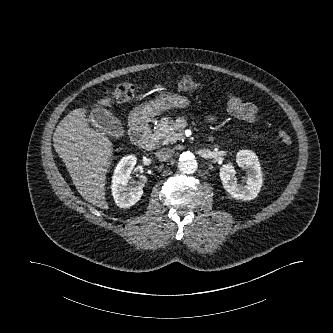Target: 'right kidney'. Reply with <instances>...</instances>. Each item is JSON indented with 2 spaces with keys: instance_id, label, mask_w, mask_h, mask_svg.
<instances>
[{
  "instance_id": "right-kidney-1",
  "label": "right kidney",
  "mask_w": 333,
  "mask_h": 333,
  "mask_svg": "<svg viewBox=\"0 0 333 333\" xmlns=\"http://www.w3.org/2000/svg\"><path fill=\"white\" fill-rule=\"evenodd\" d=\"M136 157L133 155L123 157L117 164L112 176V196L120 208H127L138 202L143 194V187L147 178L139 176L137 185L128 184L130 173L136 165Z\"/></svg>"
}]
</instances>
